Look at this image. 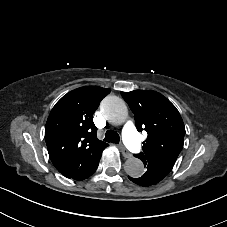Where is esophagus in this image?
Segmentation results:
<instances>
[{
  "label": "esophagus",
  "mask_w": 227,
  "mask_h": 227,
  "mask_svg": "<svg viewBox=\"0 0 227 227\" xmlns=\"http://www.w3.org/2000/svg\"><path fill=\"white\" fill-rule=\"evenodd\" d=\"M119 149H120L122 155H123L125 158H131V157H132V154L125 148L124 145L120 144V145H119Z\"/></svg>",
  "instance_id": "obj_1"
}]
</instances>
